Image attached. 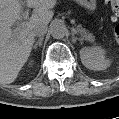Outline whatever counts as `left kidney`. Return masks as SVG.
Returning a JSON list of instances; mask_svg holds the SVG:
<instances>
[{"label":"left kidney","mask_w":119,"mask_h":119,"mask_svg":"<svg viewBox=\"0 0 119 119\" xmlns=\"http://www.w3.org/2000/svg\"><path fill=\"white\" fill-rule=\"evenodd\" d=\"M80 58L86 68L94 71L105 70L110 65L106 51L98 46L83 47L80 50Z\"/></svg>","instance_id":"5707ae66"}]
</instances>
